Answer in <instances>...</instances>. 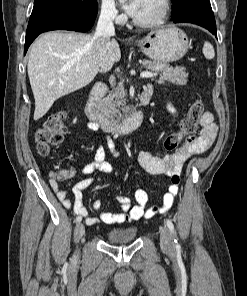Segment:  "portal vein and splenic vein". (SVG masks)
I'll use <instances>...</instances> for the list:
<instances>
[{
  "instance_id": "portal-vein-and-splenic-vein-1",
  "label": "portal vein and splenic vein",
  "mask_w": 247,
  "mask_h": 296,
  "mask_svg": "<svg viewBox=\"0 0 247 296\" xmlns=\"http://www.w3.org/2000/svg\"><path fill=\"white\" fill-rule=\"evenodd\" d=\"M85 67H88V65H85ZM157 73H151V72H148V71H143L141 74H140V77L141 78H151V77H154L156 76Z\"/></svg>"
}]
</instances>
